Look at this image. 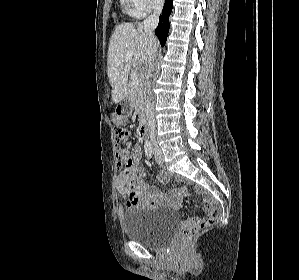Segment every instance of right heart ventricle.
Listing matches in <instances>:
<instances>
[{
    "instance_id": "right-heart-ventricle-1",
    "label": "right heart ventricle",
    "mask_w": 299,
    "mask_h": 280,
    "mask_svg": "<svg viewBox=\"0 0 299 280\" xmlns=\"http://www.w3.org/2000/svg\"><path fill=\"white\" fill-rule=\"evenodd\" d=\"M121 4H122L123 10L126 14H128L132 17L142 16L141 12L135 6L133 0H121Z\"/></svg>"
}]
</instances>
